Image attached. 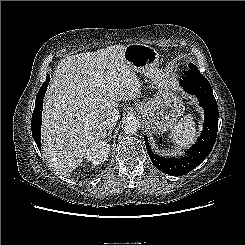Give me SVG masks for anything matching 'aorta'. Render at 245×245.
Listing matches in <instances>:
<instances>
[{
	"instance_id": "aorta-1",
	"label": "aorta",
	"mask_w": 245,
	"mask_h": 245,
	"mask_svg": "<svg viewBox=\"0 0 245 245\" xmlns=\"http://www.w3.org/2000/svg\"><path fill=\"white\" fill-rule=\"evenodd\" d=\"M122 129L126 134H135L139 130V121L135 117H126L122 121Z\"/></svg>"
}]
</instances>
